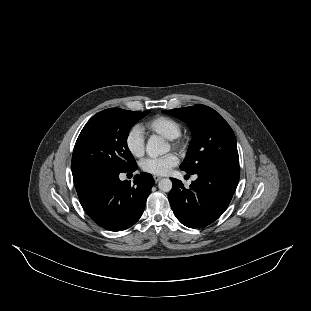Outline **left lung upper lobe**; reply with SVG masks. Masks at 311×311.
I'll use <instances>...</instances> for the list:
<instances>
[{
	"label": "left lung upper lobe",
	"instance_id": "1",
	"mask_svg": "<svg viewBox=\"0 0 311 311\" xmlns=\"http://www.w3.org/2000/svg\"><path fill=\"white\" fill-rule=\"evenodd\" d=\"M188 123L192 140L181 170L193 174L218 165H239L236 138L229 124L205 105L164 110Z\"/></svg>",
	"mask_w": 311,
	"mask_h": 311
}]
</instances>
